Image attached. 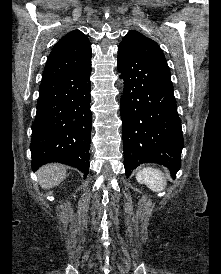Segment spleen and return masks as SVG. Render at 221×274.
<instances>
[{
	"instance_id": "1",
	"label": "spleen",
	"mask_w": 221,
	"mask_h": 274,
	"mask_svg": "<svg viewBox=\"0 0 221 274\" xmlns=\"http://www.w3.org/2000/svg\"><path fill=\"white\" fill-rule=\"evenodd\" d=\"M136 180L145 184L148 188L155 192H161L165 189L166 180L163 173L154 168L146 167L142 171H139L136 175Z\"/></svg>"
}]
</instances>
